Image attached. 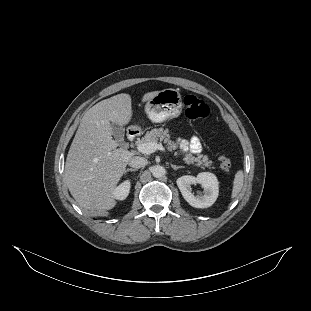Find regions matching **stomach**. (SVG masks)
Instances as JSON below:
<instances>
[{"mask_svg": "<svg viewBox=\"0 0 311 311\" xmlns=\"http://www.w3.org/2000/svg\"><path fill=\"white\" fill-rule=\"evenodd\" d=\"M183 102L181 93L174 88L159 91L145 104V113L153 123H163L181 115Z\"/></svg>", "mask_w": 311, "mask_h": 311, "instance_id": "stomach-1", "label": "stomach"}]
</instances>
